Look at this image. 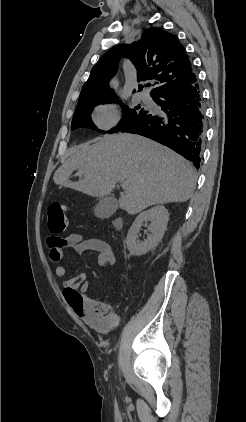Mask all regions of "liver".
<instances>
[{"mask_svg":"<svg viewBox=\"0 0 246 422\" xmlns=\"http://www.w3.org/2000/svg\"><path fill=\"white\" fill-rule=\"evenodd\" d=\"M78 170L83 177L70 181ZM54 183L92 197H104L117 182L126 185L119 206L134 215L149 206L191 198L196 173L171 149L133 134L104 135L83 144L53 176Z\"/></svg>","mask_w":246,"mask_h":422,"instance_id":"6515ba94","label":"liver"}]
</instances>
